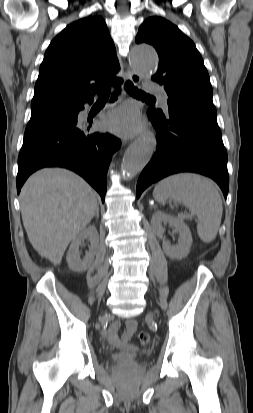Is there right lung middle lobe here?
Listing matches in <instances>:
<instances>
[{
    "instance_id": "obj_1",
    "label": "right lung middle lobe",
    "mask_w": 253,
    "mask_h": 413,
    "mask_svg": "<svg viewBox=\"0 0 253 413\" xmlns=\"http://www.w3.org/2000/svg\"><path fill=\"white\" fill-rule=\"evenodd\" d=\"M78 109L56 110L32 114L24 139L33 138L49 131L69 127L77 122Z\"/></svg>"
}]
</instances>
